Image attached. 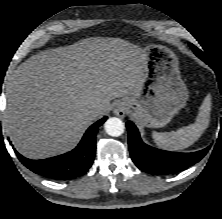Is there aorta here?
<instances>
[{
  "label": "aorta",
  "instance_id": "762f6f07",
  "mask_svg": "<svg viewBox=\"0 0 222 219\" xmlns=\"http://www.w3.org/2000/svg\"><path fill=\"white\" fill-rule=\"evenodd\" d=\"M104 129L108 135L118 137L123 134L125 126L121 119L112 117L105 122Z\"/></svg>",
  "mask_w": 222,
  "mask_h": 219
}]
</instances>
